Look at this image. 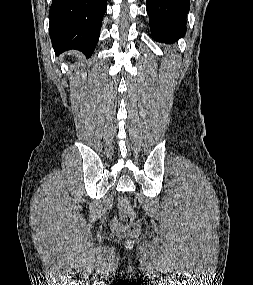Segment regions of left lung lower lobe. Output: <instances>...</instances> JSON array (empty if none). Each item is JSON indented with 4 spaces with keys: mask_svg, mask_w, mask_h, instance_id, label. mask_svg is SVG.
Returning <instances> with one entry per match:
<instances>
[{
    "mask_svg": "<svg viewBox=\"0 0 253 285\" xmlns=\"http://www.w3.org/2000/svg\"><path fill=\"white\" fill-rule=\"evenodd\" d=\"M146 9L156 41L173 43L185 35L189 0H146Z\"/></svg>",
    "mask_w": 253,
    "mask_h": 285,
    "instance_id": "left-lung-lower-lobe-1",
    "label": "left lung lower lobe"
}]
</instances>
